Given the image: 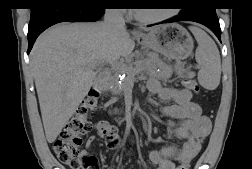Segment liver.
Segmentation results:
<instances>
[{"label": "liver", "mask_w": 252, "mask_h": 169, "mask_svg": "<svg viewBox=\"0 0 252 169\" xmlns=\"http://www.w3.org/2000/svg\"><path fill=\"white\" fill-rule=\"evenodd\" d=\"M133 50L134 42L126 30L110 33L102 22L60 23L38 37L30 66L49 143L56 140L88 94L97 75L94 69L128 58Z\"/></svg>", "instance_id": "1"}]
</instances>
